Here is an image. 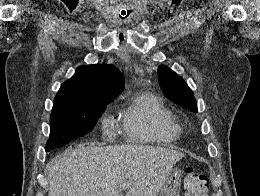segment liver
<instances>
[{
  "instance_id": "6515ba94",
  "label": "liver",
  "mask_w": 260,
  "mask_h": 196,
  "mask_svg": "<svg viewBox=\"0 0 260 196\" xmlns=\"http://www.w3.org/2000/svg\"><path fill=\"white\" fill-rule=\"evenodd\" d=\"M183 152L153 146L79 144L48 164V196H158Z\"/></svg>"
}]
</instances>
